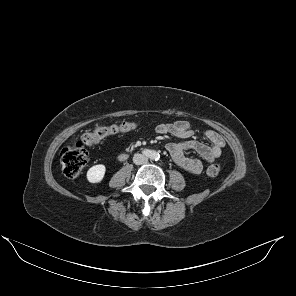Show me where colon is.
<instances>
[{"label":"colon","instance_id":"1","mask_svg":"<svg viewBox=\"0 0 296 296\" xmlns=\"http://www.w3.org/2000/svg\"><path fill=\"white\" fill-rule=\"evenodd\" d=\"M137 124L132 121H122L114 124H101L94 130L84 133L81 140L72 146L65 147L61 152V164L64 174L73 178L80 174L87 163V145L95 144L109 135L124 133L136 128ZM221 171V165L212 164L207 168L209 176H216Z\"/></svg>","mask_w":296,"mask_h":296}]
</instances>
